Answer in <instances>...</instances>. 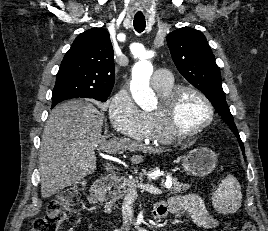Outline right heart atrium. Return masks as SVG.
<instances>
[{"mask_svg": "<svg viewBox=\"0 0 268 231\" xmlns=\"http://www.w3.org/2000/svg\"><path fill=\"white\" fill-rule=\"evenodd\" d=\"M108 116L116 132L137 141L146 140L144 114L127 89L121 88L111 97Z\"/></svg>", "mask_w": 268, "mask_h": 231, "instance_id": "1", "label": "right heart atrium"}]
</instances>
